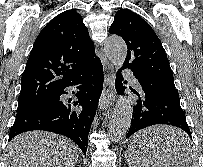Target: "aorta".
I'll return each mask as SVG.
<instances>
[{
  "label": "aorta",
  "instance_id": "aorta-1",
  "mask_svg": "<svg viewBox=\"0 0 203 167\" xmlns=\"http://www.w3.org/2000/svg\"><path fill=\"white\" fill-rule=\"evenodd\" d=\"M104 50L108 59L116 67H121L127 56V45L118 36H110L105 40ZM133 108L125 97L118 100L109 126V137L120 140L126 136L132 121Z\"/></svg>",
  "mask_w": 203,
  "mask_h": 167
}]
</instances>
